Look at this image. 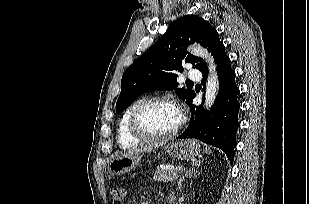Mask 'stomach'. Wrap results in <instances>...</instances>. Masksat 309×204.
I'll return each instance as SVG.
<instances>
[{"label": "stomach", "instance_id": "1", "mask_svg": "<svg viewBox=\"0 0 309 204\" xmlns=\"http://www.w3.org/2000/svg\"><path fill=\"white\" fill-rule=\"evenodd\" d=\"M165 152L172 158L188 160L200 153V145L196 140L173 141L164 146ZM139 153H127L113 158L108 164L111 175H122L135 169L141 161Z\"/></svg>", "mask_w": 309, "mask_h": 204}]
</instances>
